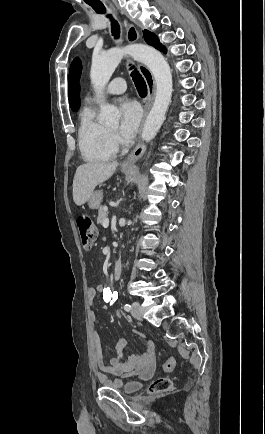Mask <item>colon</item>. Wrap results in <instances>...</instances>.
<instances>
[{
    "mask_svg": "<svg viewBox=\"0 0 265 434\" xmlns=\"http://www.w3.org/2000/svg\"><path fill=\"white\" fill-rule=\"evenodd\" d=\"M76 224L82 247L85 250L93 248L97 239V230L94 226L93 218L87 214L78 215L76 217ZM175 366V359L169 358L163 364L162 371L164 373L171 372ZM149 388L153 393H164L172 388V382L167 378L162 377V380H157L156 378L153 382H150Z\"/></svg>",
    "mask_w": 265,
    "mask_h": 434,
    "instance_id": "obj_1",
    "label": "colon"
}]
</instances>
